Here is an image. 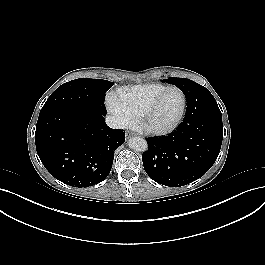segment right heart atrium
<instances>
[{"mask_svg":"<svg viewBox=\"0 0 265 265\" xmlns=\"http://www.w3.org/2000/svg\"><path fill=\"white\" fill-rule=\"evenodd\" d=\"M108 110L117 118L121 126H129L132 123V118L126 109L121 105L116 93H110L106 97Z\"/></svg>","mask_w":265,"mask_h":265,"instance_id":"1","label":"right heart atrium"}]
</instances>
